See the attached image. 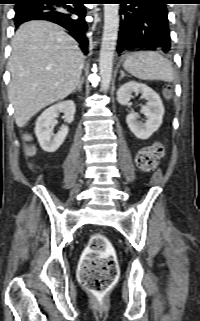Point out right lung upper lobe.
Instances as JSON below:
<instances>
[{"mask_svg":"<svg viewBox=\"0 0 200 321\" xmlns=\"http://www.w3.org/2000/svg\"><path fill=\"white\" fill-rule=\"evenodd\" d=\"M19 1H22V0H16V2H19Z\"/></svg>","mask_w":200,"mask_h":321,"instance_id":"1","label":"right lung upper lobe"}]
</instances>
